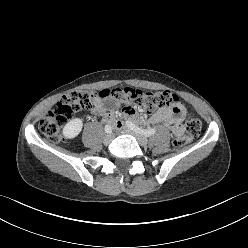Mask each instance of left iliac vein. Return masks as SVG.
I'll return each mask as SVG.
<instances>
[{
    "label": "left iliac vein",
    "mask_w": 248,
    "mask_h": 248,
    "mask_svg": "<svg viewBox=\"0 0 248 248\" xmlns=\"http://www.w3.org/2000/svg\"><path fill=\"white\" fill-rule=\"evenodd\" d=\"M122 133L130 134L134 136L137 139L138 143L143 147L147 146L148 144V139L143 134L135 132L134 130L130 128L124 127L122 129Z\"/></svg>",
    "instance_id": "left-iliac-vein-1"
}]
</instances>
